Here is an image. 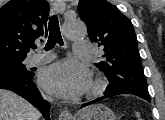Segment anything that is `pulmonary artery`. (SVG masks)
<instances>
[{"mask_svg": "<svg viewBox=\"0 0 165 120\" xmlns=\"http://www.w3.org/2000/svg\"><path fill=\"white\" fill-rule=\"evenodd\" d=\"M91 46L88 42H76L74 45V53L79 56H87L90 54ZM54 55L52 53H38L30 56L27 59V64L30 66H35L39 64L46 63L50 61Z\"/></svg>", "mask_w": 165, "mask_h": 120, "instance_id": "obj_1", "label": "pulmonary artery"}]
</instances>
